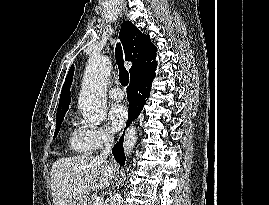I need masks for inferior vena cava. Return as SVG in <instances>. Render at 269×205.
I'll use <instances>...</instances> for the list:
<instances>
[{
  "mask_svg": "<svg viewBox=\"0 0 269 205\" xmlns=\"http://www.w3.org/2000/svg\"><path fill=\"white\" fill-rule=\"evenodd\" d=\"M113 141H114V137L112 135L106 134L104 136L105 148L100 153L99 158L106 159L111 154Z\"/></svg>",
  "mask_w": 269,
  "mask_h": 205,
  "instance_id": "602c4592",
  "label": "inferior vena cava"
}]
</instances>
